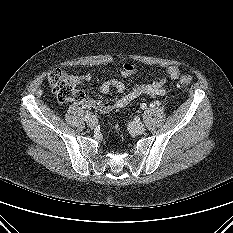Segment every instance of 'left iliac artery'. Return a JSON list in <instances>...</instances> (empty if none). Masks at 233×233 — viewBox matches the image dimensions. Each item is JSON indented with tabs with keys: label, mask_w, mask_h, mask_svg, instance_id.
Instances as JSON below:
<instances>
[{
	"label": "left iliac artery",
	"mask_w": 233,
	"mask_h": 233,
	"mask_svg": "<svg viewBox=\"0 0 233 233\" xmlns=\"http://www.w3.org/2000/svg\"><path fill=\"white\" fill-rule=\"evenodd\" d=\"M154 106H155V104L152 103V104H151V107H154ZM140 107H141V109L144 110V109L147 108V105H146L145 103H142Z\"/></svg>",
	"instance_id": "44dca946"
}]
</instances>
